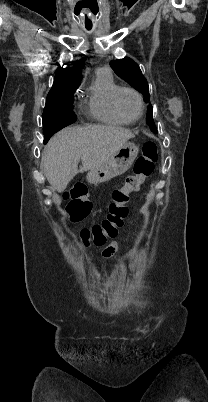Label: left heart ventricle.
Here are the masks:
<instances>
[{
  "mask_svg": "<svg viewBox=\"0 0 208 402\" xmlns=\"http://www.w3.org/2000/svg\"><path fill=\"white\" fill-rule=\"evenodd\" d=\"M119 107L128 117L135 118L139 115L140 104L137 97L130 92H123L119 96Z\"/></svg>",
  "mask_w": 208,
  "mask_h": 402,
  "instance_id": "obj_1",
  "label": "left heart ventricle"
}]
</instances>
